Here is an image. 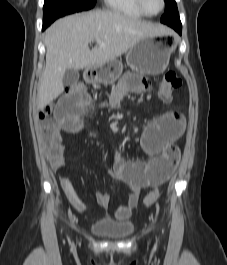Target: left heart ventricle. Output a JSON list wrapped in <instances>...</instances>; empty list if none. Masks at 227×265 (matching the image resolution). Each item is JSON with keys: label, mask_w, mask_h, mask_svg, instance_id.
<instances>
[{"label": "left heart ventricle", "mask_w": 227, "mask_h": 265, "mask_svg": "<svg viewBox=\"0 0 227 265\" xmlns=\"http://www.w3.org/2000/svg\"><path fill=\"white\" fill-rule=\"evenodd\" d=\"M144 7L149 13H156L161 8L160 0H143Z\"/></svg>", "instance_id": "1"}]
</instances>
